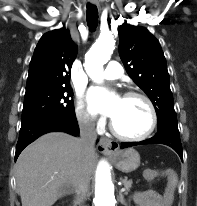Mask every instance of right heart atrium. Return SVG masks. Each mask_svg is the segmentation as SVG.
I'll return each instance as SVG.
<instances>
[{"instance_id": "1", "label": "right heart atrium", "mask_w": 197, "mask_h": 206, "mask_svg": "<svg viewBox=\"0 0 197 206\" xmlns=\"http://www.w3.org/2000/svg\"><path fill=\"white\" fill-rule=\"evenodd\" d=\"M76 116L80 125L86 129L101 128L102 121L96 119L95 115L91 112L82 99H78L77 101Z\"/></svg>"}]
</instances>
